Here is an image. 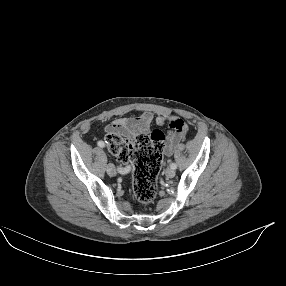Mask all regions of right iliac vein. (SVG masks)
<instances>
[{"mask_svg":"<svg viewBox=\"0 0 286 286\" xmlns=\"http://www.w3.org/2000/svg\"><path fill=\"white\" fill-rule=\"evenodd\" d=\"M107 173L110 176L116 175V168H115V166L113 164L110 163V164L107 165Z\"/></svg>","mask_w":286,"mask_h":286,"instance_id":"obj_1","label":"right iliac vein"}]
</instances>
